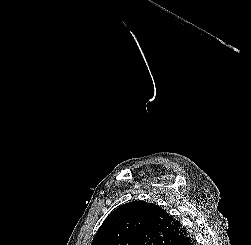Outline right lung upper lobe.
I'll list each match as a JSON object with an SVG mask.
<instances>
[{
  "label": "right lung upper lobe",
  "instance_id": "right-lung-upper-lobe-1",
  "mask_svg": "<svg viewBox=\"0 0 251 245\" xmlns=\"http://www.w3.org/2000/svg\"><path fill=\"white\" fill-rule=\"evenodd\" d=\"M185 235V228L164 209L133 201L105 219L91 245H172Z\"/></svg>",
  "mask_w": 251,
  "mask_h": 245
}]
</instances>
